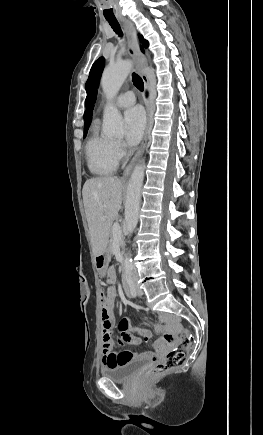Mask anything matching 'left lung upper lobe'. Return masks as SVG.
<instances>
[{"mask_svg": "<svg viewBox=\"0 0 263 435\" xmlns=\"http://www.w3.org/2000/svg\"><path fill=\"white\" fill-rule=\"evenodd\" d=\"M140 40H141L143 46L145 48H147L149 45L148 41L144 40L143 36H140ZM104 65H105L104 57H100L98 60H96L94 62V64L91 67L89 77H88V80H87L86 85H85L87 97H86V102H85V104H86V122L84 125V137L87 134L89 125H90L91 120H92V113H93L92 110H93L94 103L96 100L97 88H98L99 80H100Z\"/></svg>", "mask_w": 263, "mask_h": 435, "instance_id": "5c2ea615", "label": "left lung upper lobe"}]
</instances>
